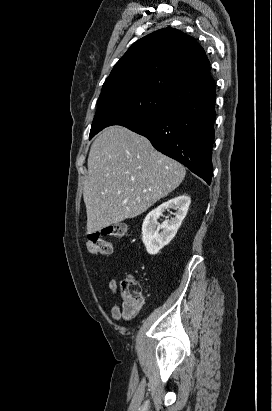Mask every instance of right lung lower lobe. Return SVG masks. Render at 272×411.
<instances>
[{
	"instance_id": "right-lung-lower-lobe-1",
	"label": "right lung lower lobe",
	"mask_w": 272,
	"mask_h": 411,
	"mask_svg": "<svg viewBox=\"0 0 272 411\" xmlns=\"http://www.w3.org/2000/svg\"><path fill=\"white\" fill-rule=\"evenodd\" d=\"M215 99L213 91L127 128L148 138L158 151L184 164L210 184Z\"/></svg>"
}]
</instances>
